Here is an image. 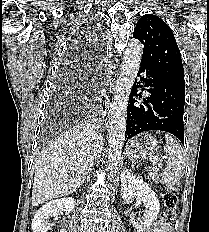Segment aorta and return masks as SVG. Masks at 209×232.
<instances>
[{
	"label": "aorta",
	"instance_id": "obj_1",
	"mask_svg": "<svg viewBox=\"0 0 209 232\" xmlns=\"http://www.w3.org/2000/svg\"><path fill=\"white\" fill-rule=\"evenodd\" d=\"M143 54L139 41L129 42L115 86L114 101L111 105V120L108 147V180H112L121 164L122 147L125 140L126 113L131 88L138 73Z\"/></svg>",
	"mask_w": 209,
	"mask_h": 232
}]
</instances>
